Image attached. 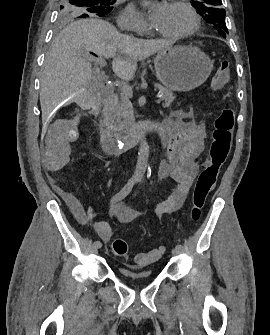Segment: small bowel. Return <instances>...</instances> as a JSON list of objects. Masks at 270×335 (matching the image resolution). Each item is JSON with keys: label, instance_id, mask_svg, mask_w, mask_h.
Returning a JSON list of instances; mask_svg holds the SVG:
<instances>
[{"label": "small bowel", "instance_id": "obj_1", "mask_svg": "<svg viewBox=\"0 0 270 335\" xmlns=\"http://www.w3.org/2000/svg\"><path fill=\"white\" fill-rule=\"evenodd\" d=\"M161 143L166 148V158L159 162L157 176L160 179H173L176 187L169 197L157 204L153 212L158 216L167 215L178 210L183 204L190 187L198 172L196 159L204 149L205 128L202 124H195L182 119H166L161 122ZM50 138L46 151L51 158L45 159L49 169H73L72 158H68L69 151L75 150L74 144H67L77 137V122L65 117L51 122ZM108 216L119 223L134 221L139 213L128 208L124 203H116ZM79 220L86 224L85 214H80ZM92 228L104 241L113 235V224L101 220L92 224Z\"/></svg>", "mask_w": 270, "mask_h": 335}]
</instances>
